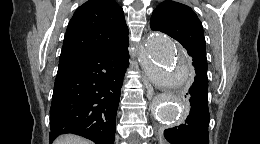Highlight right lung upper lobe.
Instances as JSON below:
<instances>
[{
	"label": "right lung upper lobe",
	"instance_id": "right-lung-upper-lobe-1",
	"mask_svg": "<svg viewBox=\"0 0 260 144\" xmlns=\"http://www.w3.org/2000/svg\"><path fill=\"white\" fill-rule=\"evenodd\" d=\"M128 33L123 9L115 0H89L69 22L59 62L129 43Z\"/></svg>",
	"mask_w": 260,
	"mask_h": 144
}]
</instances>
